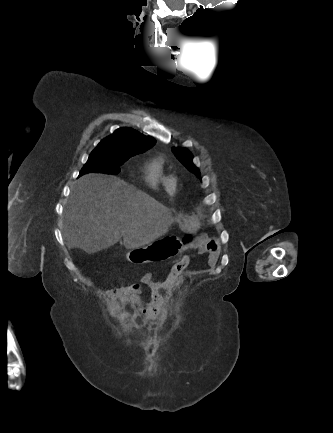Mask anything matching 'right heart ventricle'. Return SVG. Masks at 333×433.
Instances as JSON below:
<instances>
[{"mask_svg": "<svg viewBox=\"0 0 333 433\" xmlns=\"http://www.w3.org/2000/svg\"><path fill=\"white\" fill-rule=\"evenodd\" d=\"M143 181L152 190H163L169 193L166 188V180L170 175L167 171L165 160L162 156H153L145 159L141 165ZM176 189L173 193L174 194Z\"/></svg>", "mask_w": 333, "mask_h": 433, "instance_id": "e07e8e85", "label": "right heart ventricle"}]
</instances>
